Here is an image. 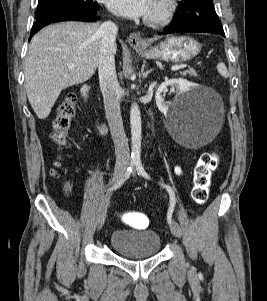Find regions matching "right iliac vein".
<instances>
[{"instance_id":"right-iliac-vein-1","label":"right iliac vein","mask_w":267,"mask_h":301,"mask_svg":"<svg viewBox=\"0 0 267 301\" xmlns=\"http://www.w3.org/2000/svg\"><path fill=\"white\" fill-rule=\"evenodd\" d=\"M126 170L125 165H118L114 169L113 177H112V185H116L124 175V172ZM111 196V192H108L105 195L104 200L102 201V204L99 209V214H98V220H97V230L100 231L104 225L105 219H106V214H107V209L109 206V199Z\"/></svg>"}]
</instances>
